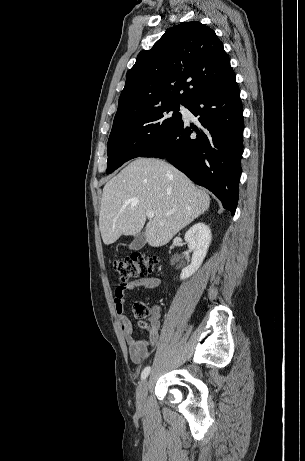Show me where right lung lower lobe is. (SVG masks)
<instances>
[{
  "instance_id": "obj_1",
  "label": "right lung lower lobe",
  "mask_w": 305,
  "mask_h": 461,
  "mask_svg": "<svg viewBox=\"0 0 305 461\" xmlns=\"http://www.w3.org/2000/svg\"><path fill=\"white\" fill-rule=\"evenodd\" d=\"M197 125L182 122L158 147L141 157L165 158L193 182L212 191L235 213L243 153V108L235 73L187 105Z\"/></svg>"
}]
</instances>
